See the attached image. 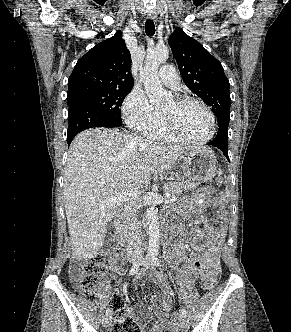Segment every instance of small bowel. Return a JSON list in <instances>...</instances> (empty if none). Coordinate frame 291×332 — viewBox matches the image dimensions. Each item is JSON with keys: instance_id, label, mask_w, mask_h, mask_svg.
<instances>
[{"instance_id": "c3829d8e", "label": "small bowel", "mask_w": 291, "mask_h": 332, "mask_svg": "<svg viewBox=\"0 0 291 332\" xmlns=\"http://www.w3.org/2000/svg\"><path fill=\"white\" fill-rule=\"evenodd\" d=\"M197 224L200 227L188 232L181 224L173 225L172 233L178 235L179 240L166 251L165 256L168 261L189 263L197 276L205 277L209 269L219 263L220 245L225 236V229L224 227L212 226L204 216L199 217ZM186 237H191L199 243L197 254L187 252ZM146 274V270H141L138 277H144ZM159 287L161 294L155 297L151 303V310L157 316L151 329H144L150 319L149 308L142 303L137 304L134 308L133 316L143 332H167L172 326L171 297L163 277H159ZM157 302H160L161 307L158 306Z\"/></svg>"}]
</instances>
